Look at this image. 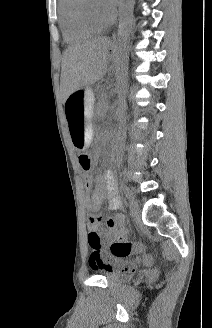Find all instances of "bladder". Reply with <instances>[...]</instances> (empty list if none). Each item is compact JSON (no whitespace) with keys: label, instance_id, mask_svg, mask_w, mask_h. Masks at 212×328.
<instances>
[{"label":"bladder","instance_id":"bladder-1","mask_svg":"<svg viewBox=\"0 0 212 328\" xmlns=\"http://www.w3.org/2000/svg\"><path fill=\"white\" fill-rule=\"evenodd\" d=\"M109 282L122 283L128 281L131 278L130 274L119 272V271H104L102 273Z\"/></svg>","mask_w":212,"mask_h":328}]
</instances>
